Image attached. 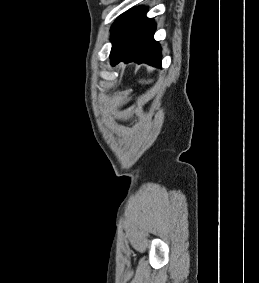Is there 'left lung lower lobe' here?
<instances>
[{
    "instance_id": "1",
    "label": "left lung lower lobe",
    "mask_w": 259,
    "mask_h": 283,
    "mask_svg": "<svg viewBox=\"0 0 259 283\" xmlns=\"http://www.w3.org/2000/svg\"><path fill=\"white\" fill-rule=\"evenodd\" d=\"M147 8L138 7L122 14L111 27V64L123 61L161 66V48L153 39L156 24L146 17Z\"/></svg>"
}]
</instances>
